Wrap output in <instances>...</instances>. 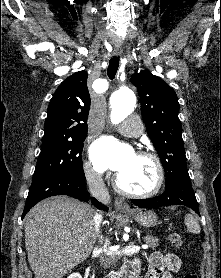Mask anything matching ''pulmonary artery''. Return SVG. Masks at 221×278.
Instances as JSON below:
<instances>
[{"instance_id": "pulmonary-artery-1", "label": "pulmonary artery", "mask_w": 221, "mask_h": 278, "mask_svg": "<svg viewBox=\"0 0 221 278\" xmlns=\"http://www.w3.org/2000/svg\"><path fill=\"white\" fill-rule=\"evenodd\" d=\"M121 134L129 137H137L142 134V123L135 118H128L123 124L118 126Z\"/></svg>"}]
</instances>
